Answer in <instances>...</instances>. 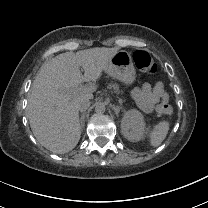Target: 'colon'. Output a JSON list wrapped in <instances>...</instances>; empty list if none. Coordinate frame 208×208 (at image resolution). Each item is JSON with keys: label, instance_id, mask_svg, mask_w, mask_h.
<instances>
[{"label": "colon", "instance_id": "obj_1", "mask_svg": "<svg viewBox=\"0 0 208 208\" xmlns=\"http://www.w3.org/2000/svg\"><path fill=\"white\" fill-rule=\"evenodd\" d=\"M133 60L135 66L143 71L145 74L149 76H153L156 74V65L151 57V55L143 50H136L133 55ZM156 111L159 113H163L166 116L172 117L174 112L172 108L168 105H158L156 107Z\"/></svg>", "mask_w": 208, "mask_h": 208}]
</instances>
